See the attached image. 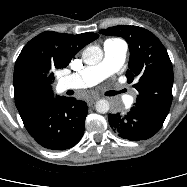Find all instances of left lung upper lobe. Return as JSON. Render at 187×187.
I'll return each mask as SVG.
<instances>
[{
  "label": "left lung upper lobe",
  "instance_id": "left-lung-upper-lobe-1",
  "mask_svg": "<svg viewBox=\"0 0 187 187\" xmlns=\"http://www.w3.org/2000/svg\"><path fill=\"white\" fill-rule=\"evenodd\" d=\"M104 35L120 36L129 44L127 81L138 91L135 107L165 120L172 102L173 68L160 40L150 31L128 25L100 30Z\"/></svg>",
  "mask_w": 187,
  "mask_h": 187
}]
</instances>
